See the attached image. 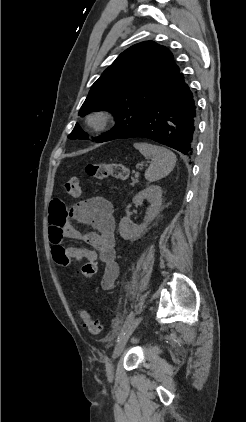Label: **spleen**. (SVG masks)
I'll return each instance as SVG.
<instances>
[{
	"label": "spleen",
	"instance_id": "3e777b00",
	"mask_svg": "<svg viewBox=\"0 0 246 422\" xmlns=\"http://www.w3.org/2000/svg\"><path fill=\"white\" fill-rule=\"evenodd\" d=\"M134 147L146 159H151V164L145 171V178L149 182L162 179L175 167L176 155L165 147L149 143H135Z\"/></svg>",
	"mask_w": 246,
	"mask_h": 422
}]
</instances>
